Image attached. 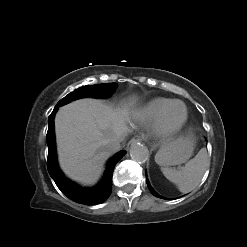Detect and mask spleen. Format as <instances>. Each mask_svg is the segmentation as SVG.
Segmentation results:
<instances>
[{
	"mask_svg": "<svg viewBox=\"0 0 247 247\" xmlns=\"http://www.w3.org/2000/svg\"><path fill=\"white\" fill-rule=\"evenodd\" d=\"M158 157L159 153L156 154V162ZM161 166V171L164 176L170 182L176 184L180 192L187 193L199 185L205 171L210 166V159L208 158L206 149L202 148L197 155L188 161L185 166L181 167L180 170L164 167V165Z\"/></svg>",
	"mask_w": 247,
	"mask_h": 247,
	"instance_id": "3e777b00",
	"label": "spleen"
}]
</instances>
